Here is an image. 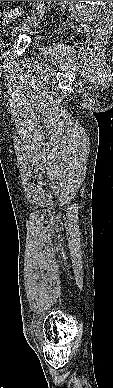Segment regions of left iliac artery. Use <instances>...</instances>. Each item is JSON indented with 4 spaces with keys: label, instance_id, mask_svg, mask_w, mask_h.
Here are the masks:
<instances>
[{
    "label": "left iliac artery",
    "instance_id": "obj_1",
    "mask_svg": "<svg viewBox=\"0 0 113 388\" xmlns=\"http://www.w3.org/2000/svg\"><path fill=\"white\" fill-rule=\"evenodd\" d=\"M42 6H43L42 1H39L37 4V10H39ZM27 18H29V17H27ZM24 20H25V17H24Z\"/></svg>",
    "mask_w": 113,
    "mask_h": 388
}]
</instances>
